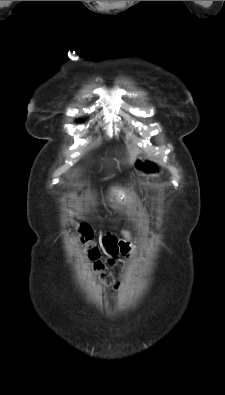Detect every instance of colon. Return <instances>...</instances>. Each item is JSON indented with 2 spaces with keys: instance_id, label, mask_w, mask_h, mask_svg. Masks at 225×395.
<instances>
[{
  "instance_id": "obj_1",
  "label": "colon",
  "mask_w": 225,
  "mask_h": 395,
  "mask_svg": "<svg viewBox=\"0 0 225 395\" xmlns=\"http://www.w3.org/2000/svg\"><path fill=\"white\" fill-rule=\"evenodd\" d=\"M80 234V240L87 255L94 261V271L99 283L102 286H116L110 273L105 271L104 264L99 261V249L92 241L91 229L87 225H83Z\"/></svg>"
}]
</instances>
